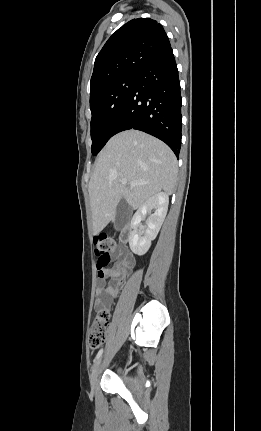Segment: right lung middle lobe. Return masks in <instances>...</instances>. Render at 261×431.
Returning <instances> with one entry per match:
<instances>
[{
	"label": "right lung middle lobe",
	"mask_w": 261,
	"mask_h": 431,
	"mask_svg": "<svg viewBox=\"0 0 261 431\" xmlns=\"http://www.w3.org/2000/svg\"><path fill=\"white\" fill-rule=\"evenodd\" d=\"M122 76L90 92L92 154L95 156L113 136V129L137 79Z\"/></svg>",
	"instance_id": "1"
}]
</instances>
